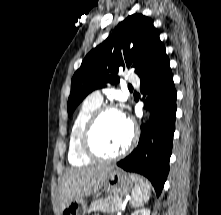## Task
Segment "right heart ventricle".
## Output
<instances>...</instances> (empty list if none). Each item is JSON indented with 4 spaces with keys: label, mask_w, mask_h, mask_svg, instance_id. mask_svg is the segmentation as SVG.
I'll list each match as a JSON object with an SVG mask.
<instances>
[{
    "label": "right heart ventricle",
    "mask_w": 221,
    "mask_h": 215,
    "mask_svg": "<svg viewBox=\"0 0 221 215\" xmlns=\"http://www.w3.org/2000/svg\"><path fill=\"white\" fill-rule=\"evenodd\" d=\"M101 103L91 96L87 97L73 120L68 140V161L72 166H85L92 162L81 149L80 137L86 122Z\"/></svg>",
    "instance_id": "1"
}]
</instances>
